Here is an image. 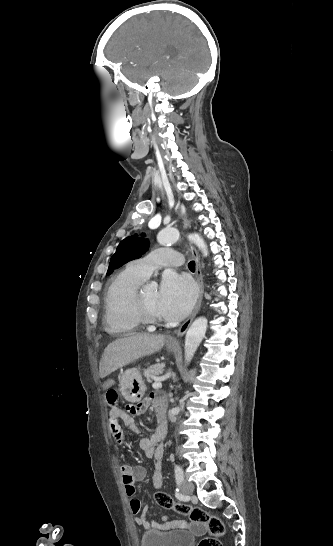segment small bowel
I'll use <instances>...</instances> for the list:
<instances>
[{
    "label": "small bowel",
    "instance_id": "small-bowel-1",
    "mask_svg": "<svg viewBox=\"0 0 333 546\" xmlns=\"http://www.w3.org/2000/svg\"><path fill=\"white\" fill-rule=\"evenodd\" d=\"M116 380L108 378L105 380L104 385L108 389L116 387ZM150 406H153L158 419H161L163 422V427L161 430H157L151 437L142 438L139 441L140 448L144 451L146 457L153 458V471L151 476V484L154 488H160L163 485V475H162V458L164 454V445L162 440L164 439L167 432V422H166V400L162 394L151 393L146 397L142 402L136 406L130 407V411L133 414L144 413ZM123 422L126 426L130 428L135 433L140 432L139 426L135 423L134 419L125 411L119 408H112L108 415V426L112 438L118 443L123 442V432L121 429V423ZM120 472L122 475V480L126 494L133 498L135 495V483L141 481L146 476V470L142 466H131L128 464H123L120 467ZM130 508L133 514L137 515L135 518V523L138 526H141L144 529H149L154 527L159 531H167L174 528L181 527L185 522L184 521H171L168 516H163L161 518L162 522L157 523L150 521L148 515L150 512L149 506L141 507V503L137 499H131ZM195 529L198 526H194Z\"/></svg>",
    "mask_w": 333,
    "mask_h": 546
}]
</instances>
